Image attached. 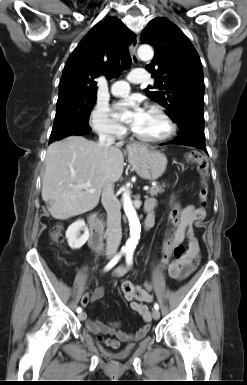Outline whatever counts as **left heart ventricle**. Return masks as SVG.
I'll return each mask as SVG.
<instances>
[{
    "mask_svg": "<svg viewBox=\"0 0 247 385\" xmlns=\"http://www.w3.org/2000/svg\"><path fill=\"white\" fill-rule=\"evenodd\" d=\"M133 130L145 137H161L168 131L165 120L156 112L145 110L142 119L133 126Z\"/></svg>",
    "mask_w": 247,
    "mask_h": 385,
    "instance_id": "left-heart-ventricle-1",
    "label": "left heart ventricle"
}]
</instances>
